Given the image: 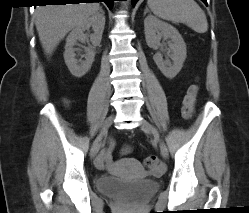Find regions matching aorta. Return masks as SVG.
<instances>
[{"mask_svg":"<svg viewBox=\"0 0 249 213\" xmlns=\"http://www.w3.org/2000/svg\"><path fill=\"white\" fill-rule=\"evenodd\" d=\"M121 3L123 5V7L127 8V2L122 1Z\"/></svg>","mask_w":249,"mask_h":213,"instance_id":"obj_1","label":"aorta"}]
</instances>
